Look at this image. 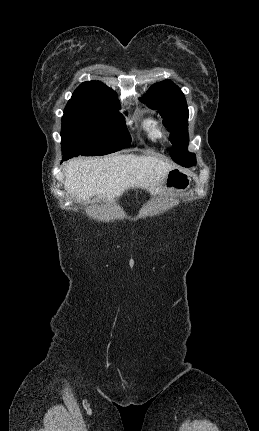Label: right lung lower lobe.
Returning a JSON list of instances; mask_svg holds the SVG:
<instances>
[{
	"instance_id": "1",
	"label": "right lung lower lobe",
	"mask_w": 259,
	"mask_h": 431,
	"mask_svg": "<svg viewBox=\"0 0 259 431\" xmlns=\"http://www.w3.org/2000/svg\"><path fill=\"white\" fill-rule=\"evenodd\" d=\"M70 157H68V156H66V155H64L63 156V160H67V159H69Z\"/></svg>"
}]
</instances>
